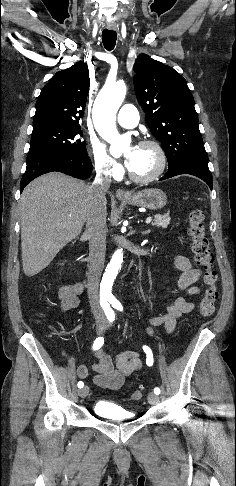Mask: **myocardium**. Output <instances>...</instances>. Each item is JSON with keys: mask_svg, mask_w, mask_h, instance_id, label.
<instances>
[{"mask_svg": "<svg viewBox=\"0 0 236 486\" xmlns=\"http://www.w3.org/2000/svg\"><path fill=\"white\" fill-rule=\"evenodd\" d=\"M139 146L153 147L158 154V166L154 172L147 176H138L134 174L130 169L128 170L129 178L136 183H150L157 180L165 171L167 165V155L163 146L156 140L146 139L139 143Z\"/></svg>", "mask_w": 236, "mask_h": 486, "instance_id": "myocardium-1", "label": "myocardium"}]
</instances>
